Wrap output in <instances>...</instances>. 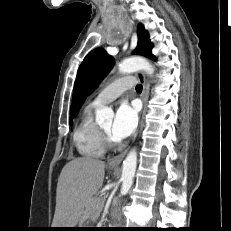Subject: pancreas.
<instances>
[{
  "mask_svg": "<svg viewBox=\"0 0 231 231\" xmlns=\"http://www.w3.org/2000/svg\"><path fill=\"white\" fill-rule=\"evenodd\" d=\"M102 200H103L102 196L101 195H97L94 198H92L91 205L101 207L102 206Z\"/></svg>",
  "mask_w": 231,
  "mask_h": 231,
  "instance_id": "cf45deb5",
  "label": "pancreas"
}]
</instances>
